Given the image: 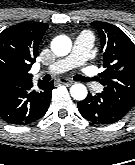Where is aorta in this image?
Instances as JSON below:
<instances>
[{
  "instance_id": "obj_1",
  "label": "aorta",
  "mask_w": 135,
  "mask_h": 165,
  "mask_svg": "<svg viewBox=\"0 0 135 165\" xmlns=\"http://www.w3.org/2000/svg\"><path fill=\"white\" fill-rule=\"evenodd\" d=\"M72 47L71 40L66 36H59L55 38L51 44L52 51L58 56L67 55ZM71 96L78 101L84 100L88 94L87 88L81 84L76 83L70 88Z\"/></svg>"
}]
</instances>
